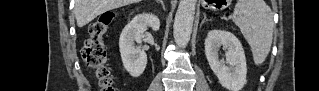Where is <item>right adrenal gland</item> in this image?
Segmentation results:
<instances>
[{"label": "right adrenal gland", "instance_id": "1", "mask_svg": "<svg viewBox=\"0 0 319 91\" xmlns=\"http://www.w3.org/2000/svg\"><path fill=\"white\" fill-rule=\"evenodd\" d=\"M156 2L160 3L162 5L163 9H165L163 0H156Z\"/></svg>", "mask_w": 319, "mask_h": 91}]
</instances>
